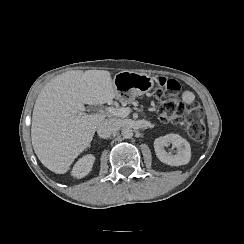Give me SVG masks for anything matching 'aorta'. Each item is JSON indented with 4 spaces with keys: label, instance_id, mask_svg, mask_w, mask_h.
<instances>
[{
    "label": "aorta",
    "instance_id": "aorta-1",
    "mask_svg": "<svg viewBox=\"0 0 244 244\" xmlns=\"http://www.w3.org/2000/svg\"><path fill=\"white\" fill-rule=\"evenodd\" d=\"M121 134L124 138L130 139L133 137V130L129 127L122 128Z\"/></svg>",
    "mask_w": 244,
    "mask_h": 244
}]
</instances>
